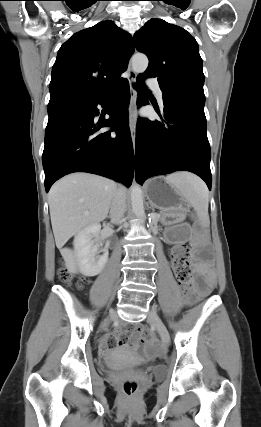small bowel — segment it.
I'll list each match as a JSON object with an SVG mask.
<instances>
[{
    "mask_svg": "<svg viewBox=\"0 0 261 427\" xmlns=\"http://www.w3.org/2000/svg\"><path fill=\"white\" fill-rule=\"evenodd\" d=\"M203 289H204V285L203 284H198V285L194 286V288L192 289V295H196L199 291H202ZM122 335H123V332L120 331V332H118L117 335H110V336H108L106 338V340H105V345L108 348H114V347H117V346L121 345L123 343V337H122ZM131 345L133 347L137 346V340H136L135 336L131 337ZM146 351H147L148 354H153L156 351V344H155V342H151L147 346Z\"/></svg>",
    "mask_w": 261,
    "mask_h": 427,
    "instance_id": "obj_1",
    "label": "small bowel"
}]
</instances>
